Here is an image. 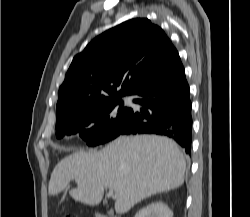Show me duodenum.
Instances as JSON below:
<instances>
[{
  "mask_svg": "<svg viewBox=\"0 0 250 217\" xmlns=\"http://www.w3.org/2000/svg\"><path fill=\"white\" fill-rule=\"evenodd\" d=\"M97 217H105V216L102 214H98ZM114 217H118V216H114Z\"/></svg>",
  "mask_w": 250,
  "mask_h": 217,
  "instance_id": "duodenum-1",
  "label": "duodenum"
}]
</instances>
